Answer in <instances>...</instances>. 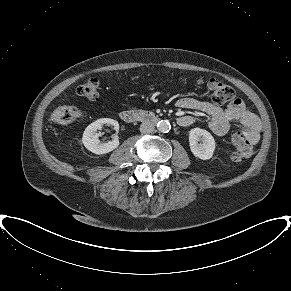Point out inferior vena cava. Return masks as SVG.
Instances as JSON below:
<instances>
[{"label": "inferior vena cava", "mask_w": 291, "mask_h": 291, "mask_svg": "<svg viewBox=\"0 0 291 291\" xmlns=\"http://www.w3.org/2000/svg\"><path fill=\"white\" fill-rule=\"evenodd\" d=\"M154 131V125L150 122H144L140 126V132L147 134L152 133Z\"/></svg>", "instance_id": "1"}]
</instances>
